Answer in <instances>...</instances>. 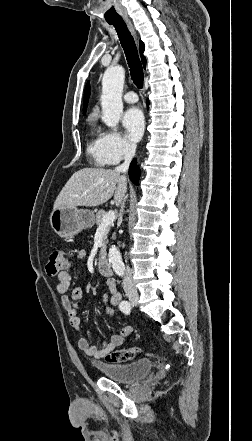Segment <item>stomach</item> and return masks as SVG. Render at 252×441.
<instances>
[{
	"label": "stomach",
	"instance_id": "stomach-1",
	"mask_svg": "<svg viewBox=\"0 0 252 441\" xmlns=\"http://www.w3.org/2000/svg\"><path fill=\"white\" fill-rule=\"evenodd\" d=\"M51 228L61 238L78 234L94 223V214L90 210L74 208H54L49 217Z\"/></svg>",
	"mask_w": 252,
	"mask_h": 441
}]
</instances>
